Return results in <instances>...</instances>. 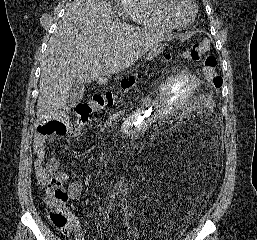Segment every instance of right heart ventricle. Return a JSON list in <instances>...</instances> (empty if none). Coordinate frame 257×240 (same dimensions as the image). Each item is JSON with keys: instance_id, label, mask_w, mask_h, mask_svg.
I'll return each instance as SVG.
<instances>
[{"instance_id": "obj_1", "label": "right heart ventricle", "mask_w": 257, "mask_h": 240, "mask_svg": "<svg viewBox=\"0 0 257 240\" xmlns=\"http://www.w3.org/2000/svg\"><path fill=\"white\" fill-rule=\"evenodd\" d=\"M120 8L124 16L144 28L159 32L173 29L161 18L156 0H120Z\"/></svg>"}]
</instances>
